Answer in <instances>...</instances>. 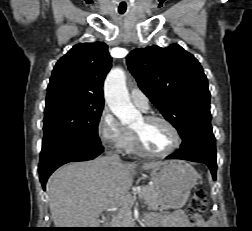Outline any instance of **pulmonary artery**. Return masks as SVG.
Returning a JSON list of instances; mask_svg holds the SVG:
<instances>
[{"mask_svg":"<svg viewBox=\"0 0 252 231\" xmlns=\"http://www.w3.org/2000/svg\"><path fill=\"white\" fill-rule=\"evenodd\" d=\"M130 97L135 106L146 112L149 109V100L147 96L138 88L130 90Z\"/></svg>","mask_w":252,"mask_h":231,"instance_id":"pulmonary-artery-1","label":"pulmonary artery"}]
</instances>
